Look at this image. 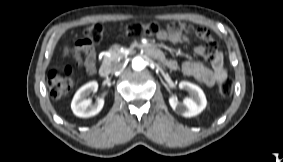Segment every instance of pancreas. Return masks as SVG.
<instances>
[{
  "instance_id": "obj_1",
  "label": "pancreas",
  "mask_w": 283,
  "mask_h": 162,
  "mask_svg": "<svg viewBox=\"0 0 283 162\" xmlns=\"http://www.w3.org/2000/svg\"><path fill=\"white\" fill-rule=\"evenodd\" d=\"M109 54L110 56H105L103 58V61H102L103 64H111L124 57V53H122L120 51V48L117 46L110 48Z\"/></svg>"
}]
</instances>
